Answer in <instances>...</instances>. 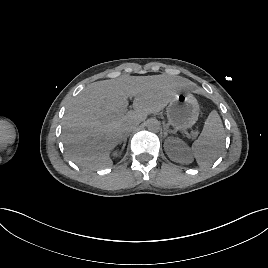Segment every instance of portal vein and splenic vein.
<instances>
[{"instance_id": "portal-vein-and-splenic-vein-1", "label": "portal vein and splenic vein", "mask_w": 268, "mask_h": 268, "mask_svg": "<svg viewBox=\"0 0 268 268\" xmlns=\"http://www.w3.org/2000/svg\"><path fill=\"white\" fill-rule=\"evenodd\" d=\"M126 111H127V109H123L118 115H123ZM115 117H116V115H112V116L109 117V119L110 118H115Z\"/></svg>"}]
</instances>
